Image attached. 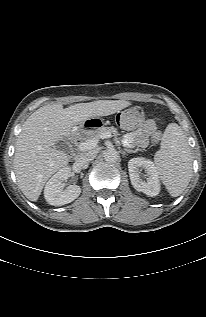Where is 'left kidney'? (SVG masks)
<instances>
[{"label":"left kidney","instance_id":"left-kidney-1","mask_svg":"<svg viewBox=\"0 0 206 317\" xmlns=\"http://www.w3.org/2000/svg\"><path fill=\"white\" fill-rule=\"evenodd\" d=\"M145 170V177L142 178L141 170ZM129 176L133 187L148 196H156L160 192V183L154 163L148 159L137 157L128 162Z\"/></svg>","mask_w":206,"mask_h":317}]
</instances>
